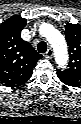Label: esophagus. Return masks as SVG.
<instances>
[{
    "instance_id": "esophagus-1",
    "label": "esophagus",
    "mask_w": 81,
    "mask_h": 124,
    "mask_svg": "<svg viewBox=\"0 0 81 124\" xmlns=\"http://www.w3.org/2000/svg\"><path fill=\"white\" fill-rule=\"evenodd\" d=\"M45 56L47 58H52V56H53V50H52V48H48V50L45 53Z\"/></svg>"
}]
</instances>
